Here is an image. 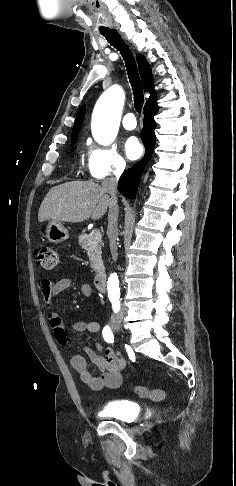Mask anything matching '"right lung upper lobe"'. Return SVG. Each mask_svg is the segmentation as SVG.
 <instances>
[{"label": "right lung upper lobe", "instance_id": "cb5924a9", "mask_svg": "<svg viewBox=\"0 0 236 486\" xmlns=\"http://www.w3.org/2000/svg\"><path fill=\"white\" fill-rule=\"evenodd\" d=\"M136 59H137L138 68H139L140 76H141V79H142L143 87L146 91H148L150 93V97H149L148 101H151V100L156 98V92H155L154 85H153V79H152V75H151L150 65L147 62V60L145 59V57L141 54H137ZM84 116H85V106L83 105L79 109L77 116H76V120H75L73 130H72V139L78 137L79 131L82 127Z\"/></svg>", "mask_w": 236, "mask_h": 486}]
</instances>
